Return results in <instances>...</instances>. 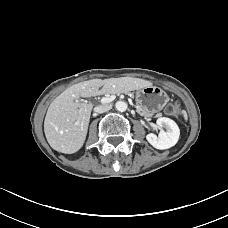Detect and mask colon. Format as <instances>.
Wrapping results in <instances>:
<instances>
[{
	"mask_svg": "<svg viewBox=\"0 0 228 228\" xmlns=\"http://www.w3.org/2000/svg\"><path fill=\"white\" fill-rule=\"evenodd\" d=\"M166 112L170 115H177L179 113V103L177 101H171L166 105Z\"/></svg>",
	"mask_w": 228,
	"mask_h": 228,
	"instance_id": "obj_1",
	"label": "colon"
}]
</instances>
